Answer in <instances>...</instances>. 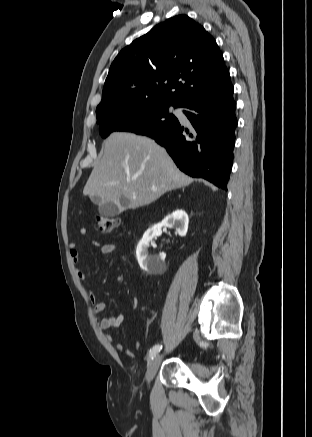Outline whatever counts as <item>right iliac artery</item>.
<instances>
[{
    "label": "right iliac artery",
    "mask_w": 312,
    "mask_h": 437,
    "mask_svg": "<svg viewBox=\"0 0 312 437\" xmlns=\"http://www.w3.org/2000/svg\"><path fill=\"white\" fill-rule=\"evenodd\" d=\"M161 349H162V345L157 344V345L153 346V347L150 349V351H149V359H153L154 356H155L158 352H160Z\"/></svg>",
    "instance_id": "1"
}]
</instances>
